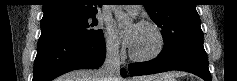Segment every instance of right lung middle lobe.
Masks as SVG:
<instances>
[{"label": "right lung middle lobe", "instance_id": "obj_1", "mask_svg": "<svg viewBox=\"0 0 237 81\" xmlns=\"http://www.w3.org/2000/svg\"><path fill=\"white\" fill-rule=\"evenodd\" d=\"M97 23L95 15L54 16L41 20V31L93 41L104 38L102 30L95 28Z\"/></svg>", "mask_w": 237, "mask_h": 81}]
</instances>
